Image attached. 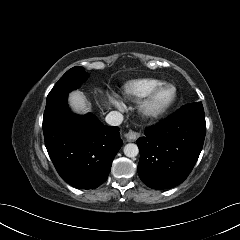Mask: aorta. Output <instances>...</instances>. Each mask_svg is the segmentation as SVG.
Masks as SVG:
<instances>
[{"label":"aorta","mask_w":240,"mask_h":240,"mask_svg":"<svg viewBox=\"0 0 240 240\" xmlns=\"http://www.w3.org/2000/svg\"><path fill=\"white\" fill-rule=\"evenodd\" d=\"M123 151H124V154L129 158L136 157L139 153L138 146L134 143L126 144Z\"/></svg>","instance_id":"1"}]
</instances>
